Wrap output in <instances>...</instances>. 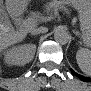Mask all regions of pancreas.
Here are the masks:
<instances>
[{
  "instance_id": "cf45deb5",
  "label": "pancreas",
  "mask_w": 91,
  "mask_h": 91,
  "mask_svg": "<svg viewBox=\"0 0 91 91\" xmlns=\"http://www.w3.org/2000/svg\"><path fill=\"white\" fill-rule=\"evenodd\" d=\"M58 6H59V4L57 2H51L48 5V9L57 8Z\"/></svg>"
}]
</instances>
